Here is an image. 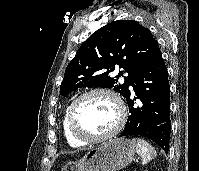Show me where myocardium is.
<instances>
[{
  "label": "myocardium",
  "instance_id": "obj_1",
  "mask_svg": "<svg viewBox=\"0 0 199 171\" xmlns=\"http://www.w3.org/2000/svg\"><path fill=\"white\" fill-rule=\"evenodd\" d=\"M95 94H103V95L111 97L117 105L118 114H119L118 122L115 125V127L108 133H105L99 136H91V135L85 134L78 128L76 124V115H77L79 104L85 98L91 95H95ZM127 116H128V112H127L126 105L122 97L117 92L105 87H95L81 93L78 97H76L73 100L68 110V125H69V129L72 135L75 138L81 141H84L85 143H98V142H102L116 136L123 129L127 121Z\"/></svg>",
  "mask_w": 199,
  "mask_h": 171
}]
</instances>
